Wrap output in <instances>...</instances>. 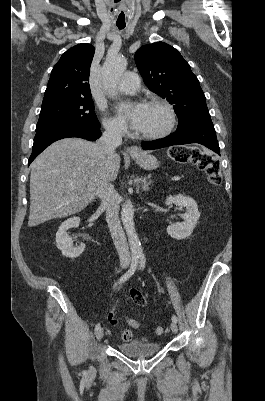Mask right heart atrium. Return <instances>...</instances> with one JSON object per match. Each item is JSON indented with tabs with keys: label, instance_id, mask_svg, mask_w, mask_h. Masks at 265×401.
I'll return each mask as SVG.
<instances>
[{
	"label": "right heart atrium",
	"instance_id": "right-heart-atrium-1",
	"mask_svg": "<svg viewBox=\"0 0 265 401\" xmlns=\"http://www.w3.org/2000/svg\"><path fill=\"white\" fill-rule=\"evenodd\" d=\"M103 127L107 134L111 136H122L127 133V127L121 121L113 118H104Z\"/></svg>",
	"mask_w": 265,
	"mask_h": 401
}]
</instances>
